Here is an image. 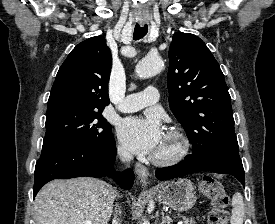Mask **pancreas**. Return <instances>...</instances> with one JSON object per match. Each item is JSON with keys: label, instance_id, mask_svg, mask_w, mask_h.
Segmentation results:
<instances>
[{"label": "pancreas", "instance_id": "cf45deb5", "mask_svg": "<svg viewBox=\"0 0 275 224\" xmlns=\"http://www.w3.org/2000/svg\"><path fill=\"white\" fill-rule=\"evenodd\" d=\"M184 224H196V220L194 218H186L182 217Z\"/></svg>", "mask_w": 275, "mask_h": 224}]
</instances>
